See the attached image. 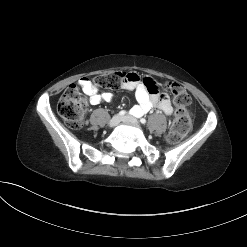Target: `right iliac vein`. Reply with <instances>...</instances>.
Listing matches in <instances>:
<instances>
[{
    "instance_id": "obj_1",
    "label": "right iliac vein",
    "mask_w": 247,
    "mask_h": 247,
    "mask_svg": "<svg viewBox=\"0 0 247 247\" xmlns=\"http://www.w3.org/2000/svg\"><path fill=\"white\" fill-rule=\"evenodd\" d=\"M120 121H121V116L120 115H115L109 121V126L110 127H115L120 123Z\"/></svg>"
}]
</instances>
